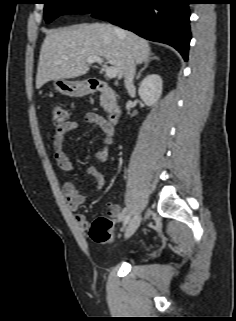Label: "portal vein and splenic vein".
<instances>
[{"mask_svg":"<svg viewBox=\"0 0 236 321\" xmlns=\"http://www.w3.org/2000/svg\"><path fill=\"white\" fill-rule=\"evenodd\" d=\"M86 62L91 64V63H99V64H103V59L98 57V56H93V57H89L86 59ZM104 69H105V73L106 76L108 78H114L117 75L116 69L114 67H108L106 65H104Z\"/></svg>","mask_w":236,"mask_h":321,"instance_id":"obj_1","label":"portal vein and splenic vein"}]
</instances>
